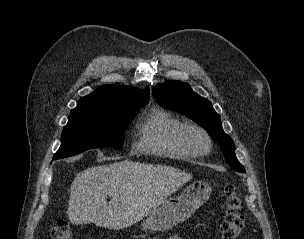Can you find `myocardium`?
Segmentation results:
<instances>
[{
	"instance_id": "obj_1",
	"label": "myocardium",
	"mask_w": 304,
	"mask_h": 239,
	"mask_svg": "<svg viewBox=\"0 0 304 239\" xmlns=\"http://www.w3.org/2000/svg\"><path fill=\"white\" fill-rule=\"evenodd\" d=\"M192 131L200 133L206 142L204 148H196L188 140V134ZM176 141L178 145L191 157H201L210 152L212 149V138L208 131L202 126L195 123H183L176 132Z\"/></svg>"
}]
</instances>
